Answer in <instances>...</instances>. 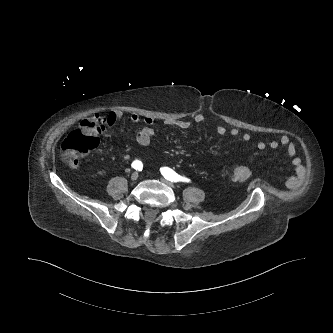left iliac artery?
I'll list each match as a JSON object with an SVG mask.
<instances>
[{
	"mask_svg": "<svg viewBox=\"0 0 333 333\" xmlns=\"http://www.w3.org/2000/svg\"><path fill=\"white\" fill-rule=\"evenodd\" d=\"M161 174L164 176L165 179L171 181V182H189L190 179L178 175L175 171H173L171 168L168 167H162L160 168Z\"/></svg>",
	"mask_w": 333,
	"mask_h": 333,
	"instance_id": "left-iliac-artery-1",
	"label": "left iliac artery"
}]
</instances>
